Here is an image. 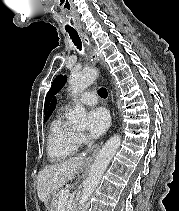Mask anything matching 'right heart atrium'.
<instances>
[{
	"mask_svg": "<svg viewBox=\"0 0 179 211\" xmlns=\"http://www.w3.org/2000/svg\"><path fill=\"white\" fill-rule=\"evenodd\" d=\"M75 139L78 145L86 142V137L82 133H75Z\"/></svg>",
	"mask_w": 179,
	"mask_h": 211,
	"instance_id": "right-heart-atrium-1",
	"label": "right heart atrium"
}]
</instances>
